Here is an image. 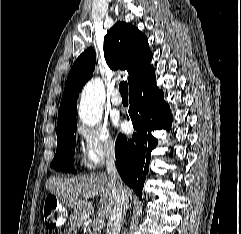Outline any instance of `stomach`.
<instances>
[{"mask_svg":"<svg viewBox=\"0 0 241 234\" xmlns=\"http://www.w3.org/2000/svg\"><path fill=\"white\" fill-rule=\"evenodd\" d=\"M81 216L79 215V214H74L73 216H72V221H74V222H79V221H81Z\"/></svg>","mask_w":241,"mask_h":234,"instance_id":"obj_1","label":"stomach"}]
</instances>
